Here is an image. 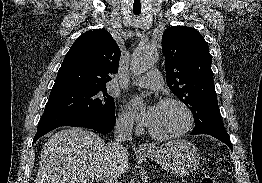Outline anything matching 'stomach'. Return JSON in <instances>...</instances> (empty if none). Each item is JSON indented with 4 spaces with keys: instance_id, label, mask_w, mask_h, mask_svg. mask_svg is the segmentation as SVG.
<instances>
[{
    "instance_id": "obj_1",
    "label": "stomach",
    "mask_w": 262,
    "mask_h": 183,
    "mask_svg": "<svg viewBox=\"0 0 262 183\" xmlns=\"http://www.w3.org/2000/svg\"><path fill=\"white\" fill-rule=\"evenodd\" d=\"M162 168L177 176L193 173L200 162L197 148L186 140H172L143 153Z\"/></svg>"
}]
</instances>
